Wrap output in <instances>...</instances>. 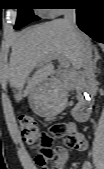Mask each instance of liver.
<instances>
[{
	"label": "liver",
	"mask_w": 104,
	"mask_h": 169,
	"mask_svg": "<svg viewBox=\"0 0 104 169\" xmlns=\"http://www.w3.org/2000/svg\"><path fill=\"white\" fill-rule=\"evenodd\" d=\"M83 43L91 46L90 38L80 31L78 37L73 36L64 19H55L20 33L13 43L7 70L16 102L32 94L53 74V56H64L75 70H79Z\"/></svg>",
	"instance_id": "liver-1"
}]
</instances>
